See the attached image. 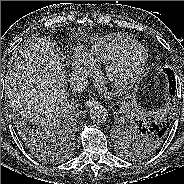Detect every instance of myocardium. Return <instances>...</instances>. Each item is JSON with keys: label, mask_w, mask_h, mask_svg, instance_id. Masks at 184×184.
I'll return each mask as SVG.
<instances>
[{"label": "myocardium", "mask_w": 184, "mask_h": 184, "mask_svg": "<svg viewBox=\"0 0 184 184\" xmlns=\"http://www.w3.org/2000/svg\"><path fill=\"white\" fill-rule=\"evenodd\" d=\"M137 52L141 54L137 63L123 76L115 77V72L123 67L132 54ZM148 56V51L144 46L137 43L128 46L112 59H110L107 63H105L102 74L110 85L117 89L125 90L133 85L141 76L147 64Z\"/></svg>", "instance_id": "1"}]
</instances>
